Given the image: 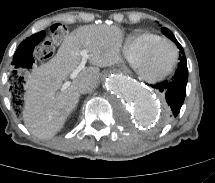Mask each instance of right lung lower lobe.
<instances>
[{
  "mask_svg": "<svg viewBox=\"0 0 215 183\" xmlns=\"http://www.w3.org/2000/svg\"><path fill=\"white\" fill-rule=\"evenodd\" d=\"M15 90H16V91H15ZM13 93H14L15 96H18V94H20L19 87H18V89H14V92H13Z\"/></svg>",
  "mask_w": 215,
  "mask_h": 183,
  "instance_id": "1",
  "label": "right lung lower lobe"
}]
</instances>
